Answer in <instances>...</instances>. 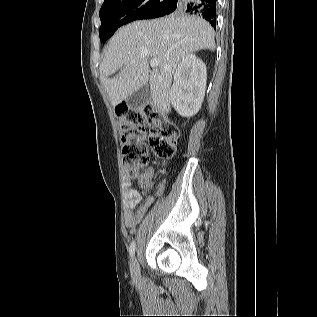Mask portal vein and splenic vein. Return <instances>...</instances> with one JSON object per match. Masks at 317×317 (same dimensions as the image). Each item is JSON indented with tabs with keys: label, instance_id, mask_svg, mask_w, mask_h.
I'll list each match as a JSON object with an SVG mask.
<instances>
[{
	"label": "portal vein and splenic vein",
	"instance_id": "obj_1",
	"mask_svg": "<svg viewBox=\"0 0 317 317\" xmlns=\"http://www.w3.org/2000/svg\"><path fill=\"white\" fill-rule=\"evenodd\" d=\"M159 64H160V61L158 59H156V58L155 59H151V61H150V66L152 68L157 67Z\"/></svg>",
	"mask_w": 317,
	"mask_h": 317
}]
</instances>
